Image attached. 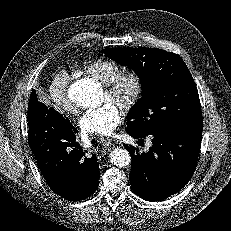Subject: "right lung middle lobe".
Returning <instances> with one entry per match:
<instances>
[{
	"label": "right lung middle lobe",
	"instance_id": "1",
	"mask_svg": "<svg viewBox=\"0 0 231 231\" xmlns=\"http://www.w3.org/2000/svg\"><path fill=\"white\" fill-rule=\"evenodd\" d=\"M30 113V108L28 107V114Z\"/></svg>",
	"mask_w": 231,
	"mask_h": 231
}]
</instances>
